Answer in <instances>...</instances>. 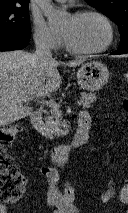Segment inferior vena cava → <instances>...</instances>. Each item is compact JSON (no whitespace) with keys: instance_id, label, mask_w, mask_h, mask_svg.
<instances>
[{"instance_id":"obj_1","label":"inferior vena cava","mask_w":128,"mask_h":213,"mask_svg":"<svg viewBox=\"0 0 128 213\" xmlns=\"http://www.w3.org/2000/svg\"><path fill=\"white\" fill-rule=\"evenodd\" d=\"M35 44H36L35 56L37 60L43 65L50 63L53 60V58L49 38L46 36L37 37L35 39Z\"/></svg>"}]
</instances>
